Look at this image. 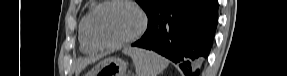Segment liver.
<instances>
[{
	"label": "liver",
	"mask_w": 287,
	"mask_h": 76,
	"mask_svg": "<svg viewBox=\"0 0 287 76\" xmlns=\"http://www.w3.org/2000/svg\"><path fill=\"white\" fill-rule=\"evenodd\" d=\"M99 58L98 57H93V58H85L83 59L80 64L78 65V68L76 70V74H79L83 69H85L89 64L97 61Z\"/></svg>",
	"instance_id": "6515ba94"
}]
</instances>
